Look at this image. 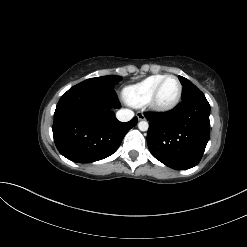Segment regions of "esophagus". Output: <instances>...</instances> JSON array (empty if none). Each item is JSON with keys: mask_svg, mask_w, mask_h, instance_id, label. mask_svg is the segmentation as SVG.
<instances>
[{"mask_svg": "<svg viewBox=\"0 0 247 247\" xmlns=\"http://www.w3.org/2000/svg\"><path fill=\"white\" fill-rule=\"evenodd\" d=\"M136 116H137L138 120H144L145 119V116H144V114L142 112H138L136 114Z\"/></svg>", "mask_w": 247, "mask_h": 247, "instance_id": "34e87169", "label": "esophagus"}]
</instances>
